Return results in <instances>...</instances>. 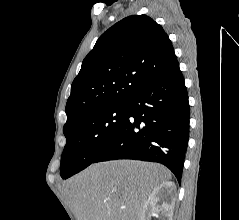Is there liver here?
<instances>
[{"label": "liver", "mask_w": 239, "mask_h": 220, "mask_svg": "<svg viewBox=\"0 0 239 220\" xmlns=\"http://www.w3.org/2000/svg\"><path fill=\"white\" fill-rule=\"evenodd\" d=\"M169 179L159 164L114 160L90 165L64 191L76 220H140L147 197Z\"/></svg>", "instance_id": "liver-1"}]
</instances>
